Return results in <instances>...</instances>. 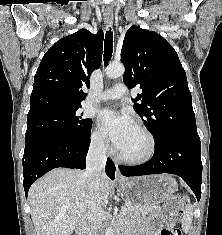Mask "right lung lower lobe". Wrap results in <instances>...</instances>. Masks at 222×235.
Wrapping results in <instances>:
<instances>
[{"mask_svg": "<svg viewBox=\"0 0 222 235\" xmlns=\"http://www.w3.org/2000/svg\"><path fill=\"white\" fill-rule=\"evenodd\" d=\"M90 145V134L82 142L50 141L24 151L23 176L26 198L32 183L48 171L57 167L85 169L86 155ZM106 174L115 177V166L108 159Z\"/></svg>", "mask_w": 222, "mask_h": 235, "instance_id": "1", "label": "right lung lower lobe"}]
</instances>
